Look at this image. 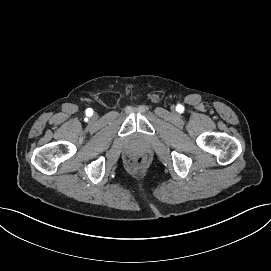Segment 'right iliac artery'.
I'll use <instances>...</instances> for the list:
<instances>
[{
  "mask_svg": "<svg viewBox=\"0 0 271 271\" xmlns=\"http://www.w3.org/2000/svg\"><path fill=\"white\" fill-rule=\"evenodd\" d=\"M86 114H87L88 116H91V115L93 114V110H92L91 108H88V109L86 110Z\"/></svg>",
  "mask_w": 271,
  "mask_h": 271,
  "instance_id": "right-iliac-artery-1",
  "label": "right iliac artery"
}]
</instances>
